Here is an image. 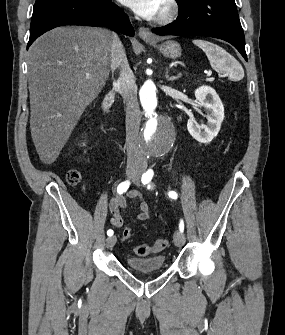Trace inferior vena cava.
I'll use <instances>...</instances> for the list:
<instances>
[{"label": "inferior vena cava", "mask_w": 285, "mask_h": 335, "mask_svg": "<svg viewBox=\"0 0 285 335\" xmlns=\"http://www.w3.org/2000/svg\"><path fill=\"white\" fill-rule=\"evenodd\" d=\"M111 68H120L121 96L126 102V144L128 160L142 162V152L138 146L139 126L141 122L140 110L137 100V88L132 70H130L124 48L117 36L113 34L111 48Z\"/></svg>", "instance_id": "1"}]
</instances>
